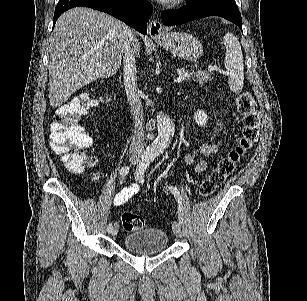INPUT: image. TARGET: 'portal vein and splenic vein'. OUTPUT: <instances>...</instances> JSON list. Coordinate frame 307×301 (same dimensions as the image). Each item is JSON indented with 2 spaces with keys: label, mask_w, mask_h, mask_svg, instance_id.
Wrapping results in <instances>:
<instances>
[{
  "label": "portal vein and splenic vein",
  "mask_w": 307,
  "mask_h": 301,
  "mask_svg": "<svg viewBox=\"0 0 307 301\" xmlns=\"http://www.w3.org/2000/svg\"><path fill=\"white\" fill-rule=\"evenodd\" d=\"M188 74H189L188 70H186V72H179V78H176L175 82H180L181 78H186Z\"/></svg>",
  "instance_id": "18ae733b"
}]
</instances>
